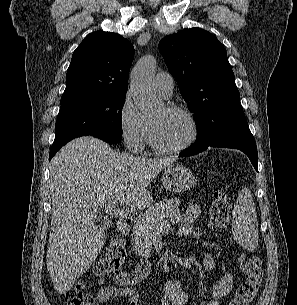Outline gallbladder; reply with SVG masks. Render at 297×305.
<instances>
[{
  "instance_id": "obj_1",
  "label": "gallbladder",
  "mask_w": 297,
  "mask_h": 305,
  "mask_svg": "<svg viewBox=\"0 0 297 305\" xmlns=\"http://www.w3.org/2000/svg\"><path fill=\"white\" fill-rule=\"evenodd\" d=\"M111 226V223L109 221H104L101 225L102 229H107Z\"/></svg>"
}]
</instances>
